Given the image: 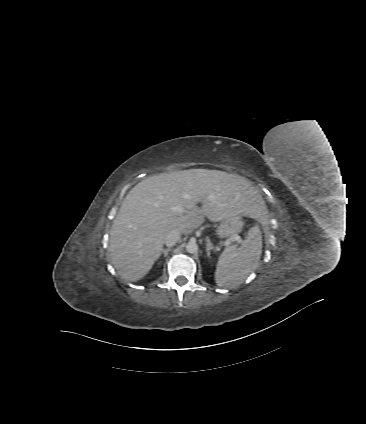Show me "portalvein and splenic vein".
<instances>
[{"instance_id":"obj_1","label":"portal vein and splenic vein","mask_w":366,"mask_h":424,"mask_svg":"<svg viewBox=\"0 0 366 424\" xmlns=\"http://www.w3.org/2000/svg\"><path fill=\"white\" fill-rule=\"evenodd\" d=\"M172 212H178V211H181V207H179V206H174V207H171V209H170ZM231 240H234V241H236V242H238V243H242V239H241V237L240 236H238V235H234V236H232L231 237ZM227 243V242H226Z\"/></svg>"}]
</instances>
